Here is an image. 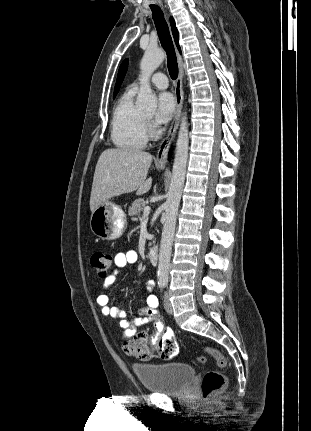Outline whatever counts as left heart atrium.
Returning a JSON list of instances; mask_svg holds the SVG:
<instances>
[{
  "instance_id": "left-heart-atrium-1",
  "label": "left heart atrium",
  "mask_w": 311,
  "mask_h": 431,
  "mask_svg": "<svg viewBox=\"0 0 311 431\" xmlns=\"http://www.w3.org/2000/svg\"><path fill=\"white\" fill-rule=\"evenodd\" d=\"M176 111V100L172 93L162 92L158 97V106L155 120L158 124L168 123Z\"/></svg>"
}]
</instances>
